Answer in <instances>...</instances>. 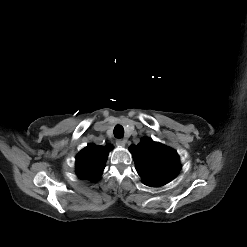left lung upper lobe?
<instances>
[{
	"label": "left lung upper lobe",
	"mask_w": 247,
	"mask_h": 247,
	"mask_svg": "<svg viewBox=\"0 0 247 247\" xmlns=\"http://www.w3.org/2000/svg\"><path fill=\"white\" fill-rule=\"evenodd\" d=\"M135 169L144 184L151 187L165 185L181 169L177 152L152 139L143 138L138 145H131Z\"/></svg>",
	"instance_id": "obj_1"
}]
</instances>
